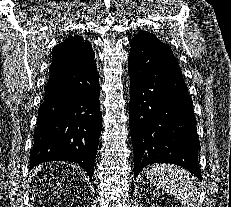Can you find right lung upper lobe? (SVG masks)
<instances>
[{
  "label": "right lung upper lobe",
  "instance_id": "cb5924a9",
  "mask_svg": "<svg viewBox=\"0 0 231 207\" xmlns=\"http://www.w3.org/2000/svg\"><path fill=\"white\" fill-rule=\"evenodd\" d=\"M52 54L51 65L64 70L76 69L94 56L90 43L78 35L71 36L55 46Z\"/></svg>",
  "mask_w": 231,
  "mask_h": 207
}]
</instances>
